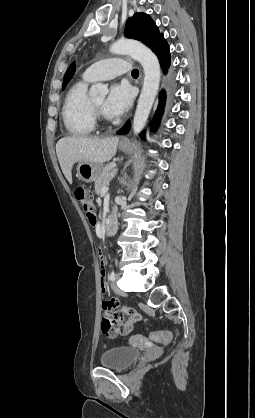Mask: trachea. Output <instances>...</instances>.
Returning <instances> with one entry per match:
<instances>
[{
    "instance_id": "1",
    "label": "trachea",
    "mask_w": 255,
    "mask_h": 418,
    "mask_svg": "<svg viewBox=\"0 0 255 418\" xmlns=\"http://www.w3.org/2000/svg\"><path fill=\"white\" fill-rule=\"evenodd\" d=\"M132 75H139L138 69H133L131 72Z\"/></svg>"
}]
</instances>
